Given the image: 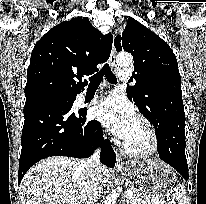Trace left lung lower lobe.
I'll return each instance as SVG.
<instances>
[{
    "label": "left lung lower lobe",
    "mask_w": 206,
    "mask_h": 204,
    "mask_svg": "<svg viewBox=\"0 0 206 204\" xmlns=\"http://www.w3.org/2000/svg\"><path fill=\"white\" fill-rule=\"evenodd\" d=\"M184 125V114L167 120L165 131L157 135L158 153L163 161L175 168L185 180H188Z\"/></svg>",
    "instance_id": "0a47b994"
}]
</instances>
